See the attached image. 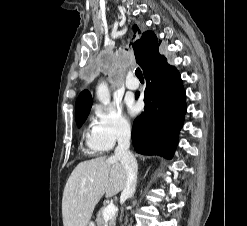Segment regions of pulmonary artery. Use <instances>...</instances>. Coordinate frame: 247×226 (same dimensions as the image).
I'll list each match as a JSON object with an SVG mask.
<instances>
[{
	"mask_svg": "<svg viewBox=\"0 0 247 226\" xmlns=\"http://www.w3.org/2000/svg\"><path fill=\"white\" fill-rule=\"evenodd\" d=\"M139 87V82L132 76H128L126 80V88L128 90H136Z\"/></svg>",
	"mask_w": 247,
	"mask_h": 226,
	"instance_id": "1",
	"label": "pulmonary artery"
}]
</instances>
